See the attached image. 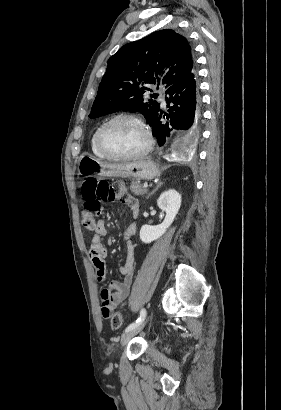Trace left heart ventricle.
<instances>
[{"label":"left heart ventricle","instance_id":"b2bd125f","mask_svg":"<svg viewBox=\"0 0 281 410\" xmlns=\"http://www.w3.org/2000/svg\"><path fill=\"white\" fill-rule=\"evenodd\" d=\"M104 145L116 154H132L146 144L143 129L135 122L122 119L111 124L103 135Z\"/></svg>","mask_w":281,"mask_h":410}]
</instances>
